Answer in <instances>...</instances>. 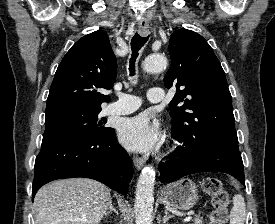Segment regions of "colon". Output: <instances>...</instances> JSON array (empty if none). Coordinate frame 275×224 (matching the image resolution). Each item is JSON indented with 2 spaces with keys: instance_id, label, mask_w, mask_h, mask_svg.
Segmentation results:
<instances>
[{
  "instance_id": "colon-1",
  "label": "colon",
  "mask_w": 275,
  "mask_h": 224,
  "mask_svg": "<svg viewBox=\"0 0 275 224\" xmlns=\"http://www.w3.org/2000/svg\"><path fill=\"white\" fill-rule=\"evenodd\" d=\"M204 191L211 197L213 209L210 213V224H226L230 196L219 179L205 177L202 181Z\"/></svg>"
}]
</instances>
